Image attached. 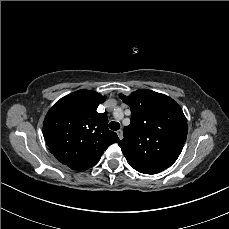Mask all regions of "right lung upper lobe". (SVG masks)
Segmentation results:
<instances>
[{"mask_svg": "<svg viewBox=\"0 0 229 229\" xmlns=\"http://www.w3.org/2000/svg\"><path fill=\"white\" fill-rule=\"evenodd\" d=\"M105 99L97 92L78 90L56 102L44 119L43 135L50 152L73 170L92 167L119 141L107 128V115L96 111Z\"/></svg>", "mask_w": 229, "mask_h": 229, "instance_id": "1", "label": "right lung upper lobe"}]
</instances>
